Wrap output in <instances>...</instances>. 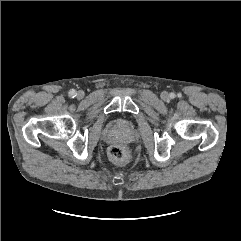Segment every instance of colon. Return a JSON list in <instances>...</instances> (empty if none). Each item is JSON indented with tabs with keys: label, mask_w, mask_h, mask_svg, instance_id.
I'll return each instance as SVG.
<instances>
[{
	"label": "colon",
	"mask_w": 241,
	"mask_h": 241,
	"mask_svg": "<svg viewBox=\"0 0 241 241\" xmlns=\"http://www.w3.org/2000/svg\"><path fill=\"white\" fill-rule=\"evenodd\" d=\"M109 157L113 162L122 164L127 160L128 153L124 147L114 145L109 149Z\"/></svg>",
	"instance_id": "obj_1"
}]
</instances>
